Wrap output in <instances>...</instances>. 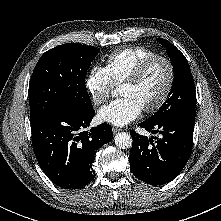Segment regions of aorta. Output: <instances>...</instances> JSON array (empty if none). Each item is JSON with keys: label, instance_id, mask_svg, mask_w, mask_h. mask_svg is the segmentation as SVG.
I'll list each match as a JSON object with an SVG mask.
<instances>
[{"label": "aorta", "instance_id": "aorta-1", "mask_svg": "<svg viewBox=\"0 0 221 221\" xmlns=\"http://www.w3.org/2000/svg\"><path fill=\"white\" fill-rule=\"evenodd\" d=\"M114 142L120 149H129L132 146V138L126 132L117 133L114 137Z\"/></svg>", "mask_w": 221, "mask_h": 221}]
</instances>
